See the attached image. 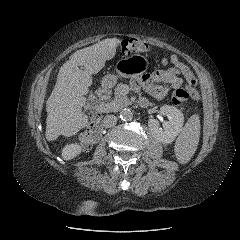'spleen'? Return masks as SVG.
Wrapping results in <instances>:
<instances>
[{
  "instance_id": "spleen-1",
  "label": "spleen",
  "mask_w": 240,
  "mask_h": 240,
  "mask_svg": "<svg viewBox=\"0 0 240 240\" xmlns=\"http://www.w3.org/2000/svg\"><path fill=\"white\" fill-rule=\"evenodd\" d=\"M200 118L192 115L176 140L174 152L179 163L186 164L194 155L200 139Z\"/></svg>"
}]
</instances>
